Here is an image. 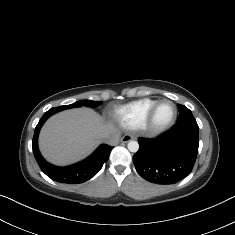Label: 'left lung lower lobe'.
<instances>
[{
	"label": "left lung lower lobe",
	"instance_id": "1",
	"mask_svg": "<svg viewBox=\"0 0 235 235\" xmlns=\"http://www.w3.org/2000/svg\"><path fill=\"white\" fill-rule=\"evenodd\" d=\"M139 150L133 156L138 174L145 180L170 184L187 177L195 164L198 126L176 124L156 139L139 138Z\"/></svg>",
	"mask_w": 235,
	"mask_h": 235
}]
</instances>
